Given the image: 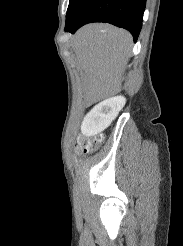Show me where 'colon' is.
Masks as SVG:
<instances>
[{
    "mask_svg": "<svg viewBox=\"0 0 183 246\" xmlns=\"http://www.w3.org/2000/svg\"><path fill=\"white\" fill-rule=\"evenodd\" d=\"M99 144L98 140H93V141H86L83 142L81 149L86 153V152H91L94 151Z\"/></svg>",
    "mask_w": 183,
    "mask_h": 246,
    "instance_id": "1",
    "label": "colon"
}]
</instances>
